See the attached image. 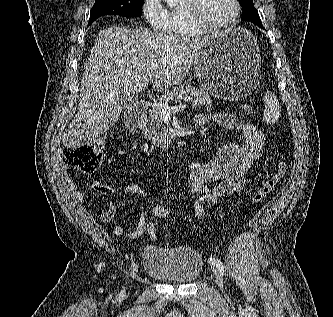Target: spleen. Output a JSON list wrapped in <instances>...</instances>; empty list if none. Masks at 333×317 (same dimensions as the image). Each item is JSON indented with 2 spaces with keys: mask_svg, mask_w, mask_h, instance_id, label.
Wrapping results in <instances>:
<instances>
[{
  "mask_svg": "<svg viewBox=\"0 0 333 317\" xmlns=\"http://www.w3.org/2000/svg\"><path fill=\"white\" fill-rule=\"evenodd\" d=\"M265 110L263 112V120L267 124H275L280 117V106L276 95L267 91L264 95Z\"/></svg>",
  "mask_w": 333,
  "mask_h": 317,
  "instance_id": "spleen-1",
  "label": "spleen"
}]
</instances>
